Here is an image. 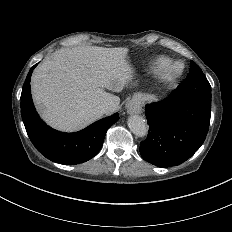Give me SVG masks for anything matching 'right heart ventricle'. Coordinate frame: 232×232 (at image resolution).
<instances>
[{"label":"right heart ventricle","instance_id":"obj_1","mask_svg":"<svg viewBox=\"0 0 232 232\" xmlns=\"http://www.w3.org/2000/svg\"><path fill=\"white\" fill-rule=\"evenodd\" d=\"M172 62L167 56H156L146 63L144 70L149 75L160 76L172 65Z\"/></svg>","mask_w":232,"mask_h":232}]
</instances>
